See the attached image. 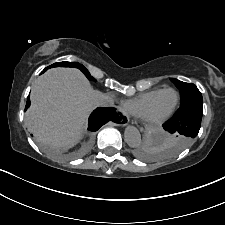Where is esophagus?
I'll return each instance as SVG.
<instances>
[{
  "mask_svg": "<svg viewBox=\"0 0 225 225\" xmlns=\"http://www.w3.org/2000/svg\"><path fill=\"white\" fill-rule=\"evenodd\" d=\"M121 121L117 124L119 126H126L129 123V117L124 110L121 111Z\"/></svg>",
  "mask_w": 225,
  "mask_h": 225,
  "instance_id": "1",
  "label": "esophagus"
}]
</instances>
